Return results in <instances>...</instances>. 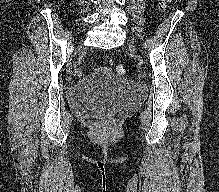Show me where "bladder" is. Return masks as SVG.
<instances>
[{"label":"bladder","instance_id":"obj_1","mask_svg":"<svg viewBox=\"0 0 219 192\" xmlns=\"http://www.w3.org/2000/svg\"><path fill=\"white\" fill-rule=\"evenodd\" d=\"M143 95L140 83L107 75L92 84L80 82L73 85L68 99L77 113L89 118H105L134 104Z\"/></svg>","mask_w":219,"mask_h":192}]
</instances>
